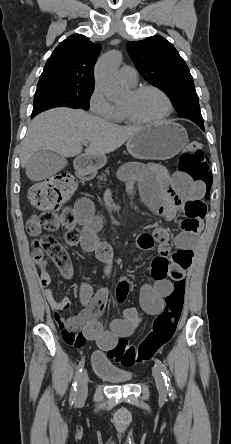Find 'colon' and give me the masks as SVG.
I'll list each match as a JSON object with an SVG mask.
<instances>
[{
    "label": "colon",
    "mask_w": 231,
    "mask_h": 444,
    "mask_svg": "<svg viewBox=\"0 0 231 444\" xmlns=\"http://www.w3.org/2000/svg\"><path fill=\"white\" fill-rule=\"evenodd\" d=\"M179 172L193 182L210 185L212 175L209 170L208 157L198 141H190L182 153ZM75 189L73 179L58 175L34 184L29 191L31 204L39 210L26 223V230L32 236H39L43 231H54L62 222L72 219L71 210L60 212L61 206ZM186 219L182 222L185 232L196 233L200 219L206 213L203 202H190L185 206ZM35 252L46 253L65 273H70V258L63 246L51 235L43 234L34 243ZM185 295V281H174L173 290L166 298L164 311L154 320L152 330L139 343L131 344L121 339L117 345L108 350L107 355L124 367L150 361L175 334L179 323Z\"/></svg>",
    "instance_id": "1"
}]
</instances>
